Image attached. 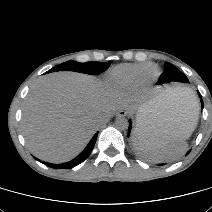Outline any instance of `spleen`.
Returning a JSON list of instances; mask_svg holds the SVG:
<instances>
[{"mask_svg": "<svg viewBox=\"0 0 212 212\" xmlns=\"http://www.w3.org/2000/svg\"><path fill=\"white\" fill-rule=\"evenodd\" d=\"M165 95L175 99L188 112H198V102L194 92L188 88H174L164 91ZM137 124L134 131V142L147 154L148 158L155 161H168L181 156L186 148L185 137H179L176 132L162 135L158 131L146 127L149 118L137 114Z\"/></svg>", "mask_w": 212, "mask_h": 212, "instance_id": "3e777b00", "label": "spleen"}]
</instances>
